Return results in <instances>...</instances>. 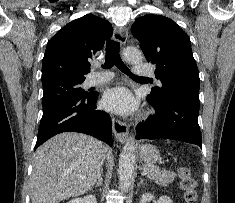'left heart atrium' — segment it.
<instances>
[{"label": "left heart atrium", "instance_id": "left-heart-atrium-1", "mask_svg": "<svg viewBox=\"0 0 235 203\" xmlns=\"http://www.w3.org/2000/svg\"><path fill=\"white\" fill-rule=\"evenodd\" d=\"M102 106L108 111L126 115L134 112L138 103L129 89L116 87L105 92Z\"/></svg>", "mask_w": 235, "mask_h": 203}]
</instances>
